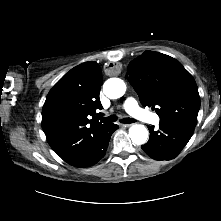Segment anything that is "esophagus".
Instances as JSON below:
<instances>
[{
    "mask_svg": "<svg viewBox=\"0 0 221 221\" xmlns=\"http://www.w3.org/2000/svg\"><path fill=\"white\" fill-rule=\"evenodd\" d=\"M123 127H130L132 124H121Z\"/></svg>",
    "mask_w": 221,
    "mask_h": 221,
    "instance_id": "34e87169",
    "label": "esophagus"
}]
</instances>
